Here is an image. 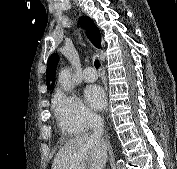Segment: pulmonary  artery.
I'll list each match as a JSON object with an SVG mask.
<instances>
[{"instance_id":"1","label":"pulmonary artery","mask_w":177,"mask_h":169,"mask_svg":"<svg viewBox=\"0 0 177 169\" xmlns=\"http://www.w3.org/2000/svg\"><path fill=\"white\" fill-rule=\"evenodd\" d=\"M82 77H83L84 81H86V82H93V81L97 80L98 73L95 70V68L88 66L83 70Z\"/></svg>"}]
</instances>
